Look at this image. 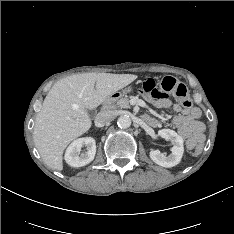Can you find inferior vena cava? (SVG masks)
Here are the masks:
<instances>
[{"mask_svg": "<svg viewBox=\"0 0 234 234\" xmlns=\"http://www.w3.org/2000/svg\"><path fill=\"white\" fill-rule=\"evenodd\" d=\"M114 119V115L110 111L99 112L95 118V124L97 127H103L110 123Z\"/></svg>", "mask_w": 234, "mask_h": 234, "instance_id": "obj_1", "label": "inferior vena cava"}]
</instances>
